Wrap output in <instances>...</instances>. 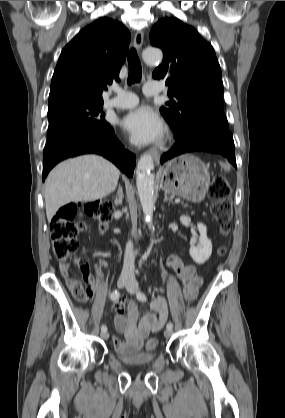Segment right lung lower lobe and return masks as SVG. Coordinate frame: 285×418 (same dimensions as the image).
<instances>
[{"label":"right lung lower lobe","mask_w":285,"mask_h":418,"mask_svg":"<svg viewBox=\"0 0 285 418\" xmlns=\"http://www.w3.org/2000/svg\"><path fill=\"white\" fill-rule=\"evenodd\" d=\"M98 154L112 161L123 173L132 177L135 155L127 151L110 127L102 131L78 130L48 142L43 152V181L60 161L82 154Z\"/></svg>","instance_id":"1"}]
</instances>
